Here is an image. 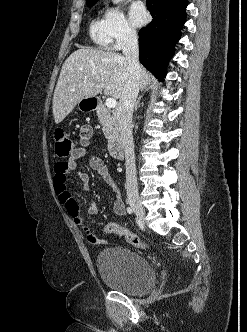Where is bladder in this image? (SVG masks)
<instances>
[{
	"instance_id": "31cf9c89",
	"label": "bladder",
	"mask_w": 247,
	"mask_h": 332,
	"mask_svg": "<svg viewBox=\"0 0 247 332\" xmlns=\"http://www.w3.org/2000/svg\"><path fill=\"white\" fill-rule=\"evenodd\" d=\"M96 265L105 285L127 295L145 294L156 284V273L150 262L126 247L101 250Z\"/></svg>"
}]
</instances>
